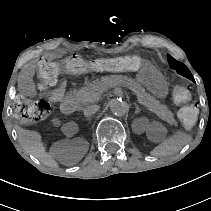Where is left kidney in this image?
<instances>
[{
  "label": "left kidney",
  "mask_w": 211,
  "mask_h": 211,
  "mask_svg": "<svg viewBox=\"0 0 211 211\" xmlns=\"http://www.w3.org/2000/svg\"><path fill=\"white\" fill-rule=\"evenodd\" d=\"M149 128H150V123H148V127H147V130H146V133H147V137L148 139H150V135H149Z\"/></svg>",
  "instance_id": "obj_1"
}]
</instances>
